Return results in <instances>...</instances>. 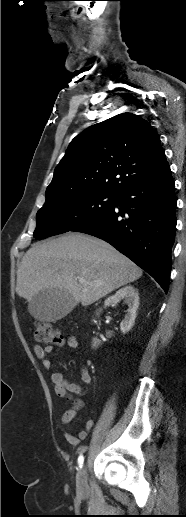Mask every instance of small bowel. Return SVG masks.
<instances>
[{"instance_id": "c3829d8e", "label": "small bowel", "mask_w": 186, "mask_h": 517, "mask_svg": "<svg viewBox=\"0 0 186 517\" xmlns=\"http://www.w3.org/2000/svg\"><path fill=\"white\" fill-rule=\"evenodd\" d=\"M66 343L71 348H77L79 346V340L75 335L68 336L65 340L61 341V344ZM52 346L42 347L38 344L33 346V352L38 360L41 361L45 369L51 368L50 360L48 359V353L52 351ZM81 379L83 385H89L91 383V374L87 366L81 368ZM51 380L54 384L55 393L62 398L72 399L74 395L81 393L83 385L77 383H71L67 381L60 372H53L51 374ZM83 407L81 400H74V404L71 408L67 409L61 417V422L64 425L69 424L76 416L77 412ZM94 427V421L88 420L85 424V428L77 434V436L70 432H65L64 437L66 441L72 445L77 446L81 441L85 440L90 430Z\"/></svg>"}]
</instances>
